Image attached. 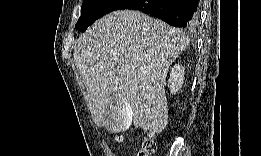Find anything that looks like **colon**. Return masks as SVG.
<instances>
[{"instance_id":"obj_1","label":"colon","mask_w":261,"mask_h":156,"mask_svg":"<svg viewBox=\"0 0 261 156\" xmlns=\"http://www.w3.org/2000/svg\"><path fill=\"white\" fill-rule=\"evenodd\" d=\"M117 141H122L121 136H116ZM156 152V143L154 139L151 137L144 141L142 146L141 155H153Z\"/></svg>"}]
</instances>
